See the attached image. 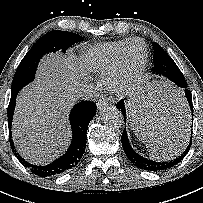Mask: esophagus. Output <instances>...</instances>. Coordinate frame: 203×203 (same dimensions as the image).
Segmentation results:
<instances>
[{
  "mask_svg": "<svg viewBox=\"0 0 203 203\" xmlns=\"http://www.w3.org/2000/svg\"><path fill=\"white\" fill-rule=\"evenodd\" d=\"M111 104V101H109L108 99H99L97 102V108L99 110L104 109L105 107L109 106Z\"/></svg>",
  "mask_w": 203,
  "mask_h": 203,
  "instance_id": "34e87169",
  "label": "esophagus"
}]
</instances>
